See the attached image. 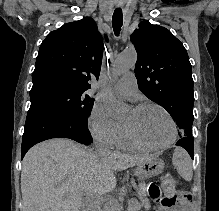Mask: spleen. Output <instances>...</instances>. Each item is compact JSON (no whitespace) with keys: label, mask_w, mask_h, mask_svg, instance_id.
Segmentation results:
<instances>
[{"label":"spleen","mask_w":219,"mask_h":211,"mask_svg":"<svg viewBox=\"0 0 219 211\" xmlns=\"http://www.w3.org/2000/svg\"><path fill=\"white\" fill-rule=\"evenodd\" d=\"M172 161L179 175L184 177L186 181H191L193 175L192 161L183 147H175Z\"/></svg>","instance_id":"1"}]
</instances>
